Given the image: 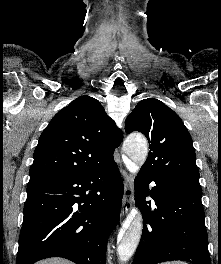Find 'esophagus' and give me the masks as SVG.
<instances>
[{
  "instance_id": "1",
  "label": "esophagus",
  "mask_w": 221,
  "mask_h": 264,
  "mask_svg": "<svg viewBox=\"0 0 221 264\" xmlns=\"http://www.w3.org/2000/svg\"><path fill=\"white\" fill-rule=\"evenodd\" d=\"M124 176V195L122 200L121 216L127 215L132 208V177L126 171H123Z\"/></svg>"
}]
</instances>
